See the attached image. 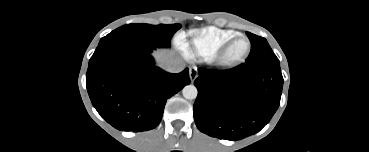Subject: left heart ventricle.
I'll list each match as a JSON object with an SVG mask.
<instances>
[{"mask_svg": "<svg viewBox=\"0 0 369 152\" xmlns=\"http://www.w3.org/2000/svg\"><path fill=\"white\" fill-rule=\"evenodd\" d=\"M247 49V42L245 40H238L230 49L229 55L231 57L241 56Z\"/></svg>", "mask_w": 369, "mask_h": 152, "instance_id": "obj_1", "label": "left heart ventricle"}]
</instances>
